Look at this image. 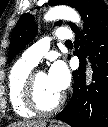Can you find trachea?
<instances>
[{
  "label": "trachea",
  "mask_w": 108,
  "mask_h": 127,
  "mask_svg": "<svg viewBox=\"0 0 108 127\" xmlns=\"http://www.w3.org/2000/svg\"><path fill=\"white\" fill-rule=\"evenodd\" d=\"M72 42L70 40H67L65 44H71Z\"/></svg>",
  "instance_id": "3493384b"
}]
</instances>
